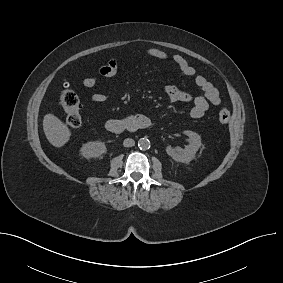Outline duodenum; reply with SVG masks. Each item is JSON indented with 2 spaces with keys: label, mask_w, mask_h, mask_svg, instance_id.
Masks as SVG:
<instances>
[{
  "label": "duodenum",
  "mask_w": 283,
  "mask_h": 283,
  "mask_svg": "<svg viewBox=\"0 0 283 283\" xmlns=\"http://www.w3.org/2000/svg\"><path fill=\"white\" fill-rule=\"evenodd\" d=\"M150 126V119L144 115H129L119 119H109L105 124L106 129L114 134H120L124 131L136 132Z\"/></svg>",
  "instance_id": "obj_1"
}]
</instances>
